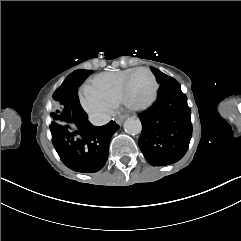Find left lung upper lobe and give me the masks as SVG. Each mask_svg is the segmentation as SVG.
I'll list each match as a JSON object with an SVG mask.
<instances>
[{
	"label": "left lung upper lobe",
	"instance_id": "1",
	"mask_svg": "<svg viewBox=\"0 0 241 241\" xmlns=\"http://www.w3.org/2000/svg\"><path fill=\"white\" fill-rule=\"evenodd\" d=\"M151 70H152V72L154 73V75L156 76L157 82H158L159 84H161V85H162V84H166V83H168V82H170V81L175 80V79H173L172 77H170V76L162 73V72H161L160 70H158V69H155V68L152 67Z\"/></svg>",
	"mask_w": 241,
	"mask_h": 241
}]
</instances>
